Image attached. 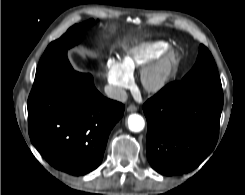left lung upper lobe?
<instances>
[{
  "mask_svg": "<svg viewBox=\"0 0 245 195\" xmlns=\"http://www.w3.org/2000/svg\"><path fill=\"white\" fill-rule=\"evenodd\" d=\"M181 82L192 87H203L222 91L215 61L204 45H200L199 54L194 67Z\"/></svg>",
  "mask_w": 245,
  "mask_h": 195,
  "instance_id": "5c2ea615",
  "label": "left lung upper lobe"
}]
</instances>
